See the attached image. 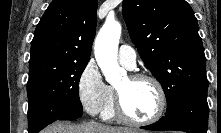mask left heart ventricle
I'll list each match as a JSON object with an SVG mask.
<instances>
[{"label": "left heart ventricle", "instance_id": "b2bd125f", "mask_svg": "<svg viewBox=\"0 0 221 133\" xmlns=\"http://www.w3.org/2000/svg\"><path fill=\"white\" fill-rule=\"evenodd\" d=\"M123 99L128 115L144 120L154 115L159 99L155 86L147 80L131 81L125 77L116 87Z\"/></svg>", "mask_w": 221, "mask_h": 133}]
</instances>
